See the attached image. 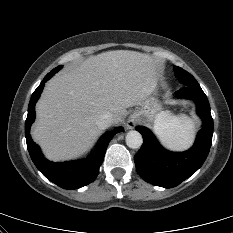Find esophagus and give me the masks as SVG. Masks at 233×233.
<instances>
[{"label":"esophagus","mask_w":233,"mask_h":233,"mask_svg":"<svg viewBox=\"0 0 233 233\" xmlns=\"http://www.w3.org/2000/svg\"><path fill=\"white\" fill-rule=\"evenodd\" d=\"M136 123H137V118L135 116H131L128 119L127 126L129 129H132L135 127Z\"/></svg>","instance_id":"1"}]
</instances>
